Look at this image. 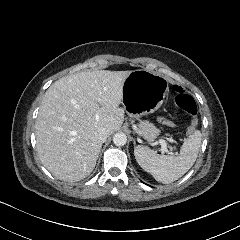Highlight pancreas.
Wrapping results in <instances>:
<instances>
[{
  "label": "pancreas",
  "instance_id": "cf45deb5",
  "mask_svg": "<svg viewBox=\"0 0 240 240\" xmlns=\"http://www.w3.org/2000/svg\"><path fill=\"white\" fill-rule=\"evenodd\" d=\"M137 126L138 128L135 130V133L144 137L148 141L155 140L160 134V130L148 120H141L137 122Z\"/></svg>",
  "mask_w": 240,
  "mask_h": 240
}]
</instances>
